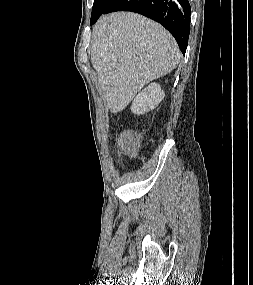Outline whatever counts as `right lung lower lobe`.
Here are the masks:
<instances>
[{
	"label": "right lung lower lobe",
	"instance_id": "98d812e1",
	"mask_svg": "<svg viewBox=\"0 0 253 285\" xmlns=\"http://www.w3.org/2000/svg\"><path fill=\"white\" fill-rule=\"evenodd\" d=\"M114 11H132L159 22L174 36L185 54L190 33L191 8L188 0H113L102 14Z\"/></svg>",
	"mask_w": 253,
	"mask_h": 285
}]
</instances>
